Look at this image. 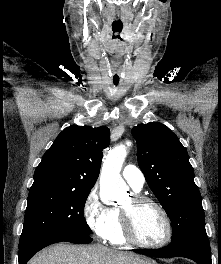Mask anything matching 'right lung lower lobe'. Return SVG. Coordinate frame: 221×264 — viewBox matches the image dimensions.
Here are the masks:
<instances>
[{"label": "right lung lower lobe", "mask_w": 221, "mask_h": 264, "mask_svg": "<svg viewBox=\"0 0 221 264\" xmlns=\"http://www.w3.org/2000/svg\"><path fill=\"white\" fill-rule=\"evenodd\" d=\"M92 241L90 236L85 237H51L43 238L36 241H32L19 248V264H26L27 261L42 248L58 243V242H71L75 244H88Z\"/></svg>", "instance_id": "obj_1"}]
</instances>
